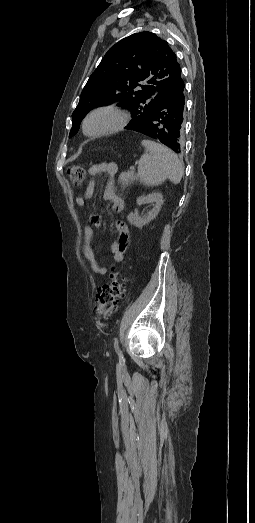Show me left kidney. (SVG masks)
Returning a JSON list of instances; mask_svg holds the SVG:
<instances>
[{"label": "left kidney", "instance_id": "left-kidney-1", "mask_svg": "<svg viewBox=\"0 0 255 523\" xmlns=\"http://www.w3.org/2000/svg\"><path fill=\"white\" fill-rule=\"evenodd\" d=\"M150 202H155V204H153L152 210L148 212L145 218H140L137 214H129V216H127L128 222L133 224V226H137V228H142V226H145V224H149L151 220H154V218L158 216L164 202L162 194L154 192V194H149V196H140L137 200V204H150Z\"/></svg>", "mask_w": 255, "mask_h": 523}]
</instances>
